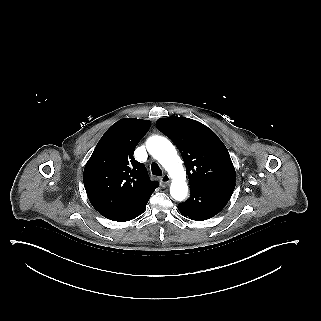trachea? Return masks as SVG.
<instances>
[{
	"instance_id": "1",
	"label": "trachea",
	"mask_w": 321,
	"mask_h": 321,
	"mask_svg": "<svg viewBox=\"0 0 321 321\" xmlns=\"http://www.w3.org/2000/svg\"><path fill=\"white\" fill-rule=\"evenodd\" d=\"M151 170L153 175L162 176V171L157 163H152Z\"/></svg>"
}]
</instances>
